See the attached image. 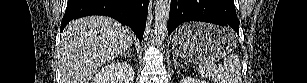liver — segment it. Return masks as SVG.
Here are the masks:
<instances>
[{"label": "liver", "mask_w": 307, "mask_h": 83, "mask_svg": "<svg viewBox=\"0 0 307 83\" xmlns=\"http://www.w3.org/2000/svg\"><path fill=\"white\" fill-rule=\"evenodd\" d=\"M133 44L129 28L109 17L90 16L70 22L59 46L60 83H88L98 67Z\"/></svg>", "instance_id": "obj_1"}]
</instances>
